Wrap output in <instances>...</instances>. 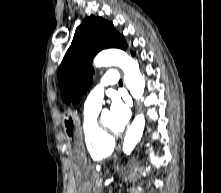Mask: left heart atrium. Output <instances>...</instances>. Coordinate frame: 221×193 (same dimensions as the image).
<instances>
[{
  "mask_svg": "<svg viewBox=\"0 0 221 193\" xmlns=\"http://www.w3.org/2000/svg\"><path fill=\"white\" fill-rule=\"evenodd\" d=\"M117 131L125 128L131 117L130 105L119 97H114L111 102L110 112Z\"/></svg>",
  "mask_w": 221,
  "mask_h": 193,
  "instance_id": "1",
  "label": "left heart atrium"
}]
</instances>
